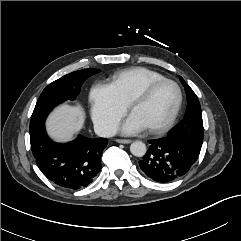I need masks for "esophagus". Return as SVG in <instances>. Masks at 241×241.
I'll return each instance as SVG.
<instances>
[{"label": "esophagus", "instance_id": "esophagus-1", "mask_svg": "<svg viewBox=\"0 0 241 241\" xmlns=\"http://www.w3.org/2000/svg\"><path fill=\"white\" fill-rule=\"evenodd\" d=\"M116 141L121 144H129L132 142L131 140H128V139H117Z\"/></svg>", "mask_w": 241, "mask_h": 241}]
</instances>
